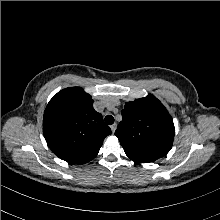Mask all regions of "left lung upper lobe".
Masks as SVG:
<instances>
[{
  "instance_id": "5c2ea615",
  "label": "left lung upper lobe",
  "mask_w": 220,
  "mask_h": 220,
  "mask_svg": "<svg viewBox=\"0 0 220 220\" xmlns=\"http://www.w3.org/2000/svg\"><path fill=\"white\" fill-rule=\"evenodd\" d=\"M115 135L126 155L138 163L165 156L172 148L174 124L163 104L153 95L127 102Z\"/></svg>"
}]
</instances>
